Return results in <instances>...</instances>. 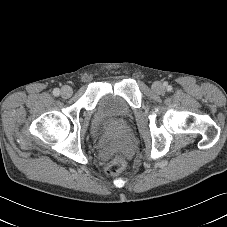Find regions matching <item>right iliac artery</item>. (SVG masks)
<instances>
[{
	"mask_svg": "<svg viewBox=\"0 0 227 227\" xmlns=\"http://www.w3.org/2000/svg\"><path fill=\"white\" fill-rule=\"evenodd\" d=\"M59 94H60V90H59L58 88H55V89L53 90V95H54V96H59Z\"/></svg>",
	"mask_w": 227,
	"mask_h": 227,
	"instance_id": "1",
	"label": "right iliac artery"
}]
</instances>
